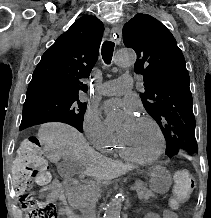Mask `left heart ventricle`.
Instances as JSON below:
<instances>
[{"label": "left heart ventricle", "instance_id": "left-heart-ventricle-1", "mask_svg": "<svg viewBox=\"0 0 211 218\" xmlns=\"http://www.w3.org/2000/svg\"><path fill=\"white\" fill-rule=\"evenodd\" d=\"M119 136L128 150L141 157L152 156L159 149L160 141L155 128L142 118L127 130L121 128Z\"/></svg>", "mask_w": 211, "mask_h": 218}]
</instances>
